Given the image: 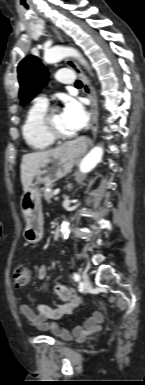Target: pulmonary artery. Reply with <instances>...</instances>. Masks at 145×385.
<instances>
[{
    "mask_svg": "<svg viewBox=\"0 0 145 385\" xmlns=\"http://www.w3.org/2000/svg\"><path fill=\"white\" fill-rule=\"evenodd\" d=\"M56 78H57L58 81H60L61 83H65V84H71V83H73V81H74V75H73V73H72L70 70H68V69H61V70H59V71L56 73ZM38 102L47 105V99H46L44 96L39 97V98H38Z\"/></svg>",
    "mask_w": 145,
    "mask_h": 385,
    "instance_id": "1",
    "label": "pulmonary artery"
}]
</instances>
